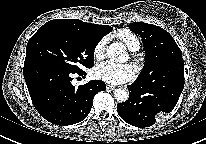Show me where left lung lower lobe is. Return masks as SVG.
<instances>
[{
  "instance_id": "obj_1",
  "label": "left lung lower lobe",
  "mask_w": 206,
  "mask_h": 144,
  "mask_svg": "<svg viewBox=\"0 0 206 144\" xmlns=\"http://www.w3.org/2000/svg\"><path fill=\"white\" fill-rule=\"evenodd\" d=\"M184 87V76L153 86L131 84L129 99L117 105L119 116L136 127H149L162 113H170L178 102Z\"/></svg>"
}]
</instances>
